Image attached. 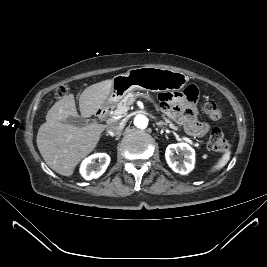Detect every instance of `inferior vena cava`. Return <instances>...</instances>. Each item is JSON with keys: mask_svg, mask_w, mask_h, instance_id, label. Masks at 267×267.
<instances>
[{"mask_svg": "<svg viewBox=\"0 0 267 267\" xmlns=\"http://www.w3.org/2000/svg\"><path fill=\"white\" fill-rule=\"evenodd\" d=\"M124 128V124L121 122H114L112 124H110L107 128L108 133L110 135H116L118 133H120L122 131V129Z\"/></svg>", "mask_w": 267, "mask_h": 267, "instance_id": "1", "label": "inferior vena cava"}]
</instances>
